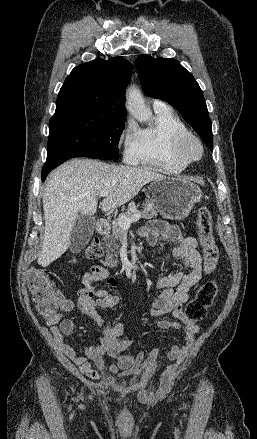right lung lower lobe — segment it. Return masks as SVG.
<instances>
[{
    "mask_svg": "<svg viewBox=\"0 0 257 439\" xmlns=\"http://www.w3.org/2000/svg\"><path fill=\"white\" fill-rule=\"evenodd\" d=\"M66 160H68V158H64V159H60V160L52 161V162H46L45 165L43 166V169H42V181L45 180L46 176L48 175V173L51 170H53L54 168H56L57 166H59L60 164L65 162Z\"/></svg>",
    "mask_w": 257,
    "mask_h": 439,
    "instance_id": "right-lung-lower-lobe-1",
    "label": "right lung lower lobe"
}]
</instances>
